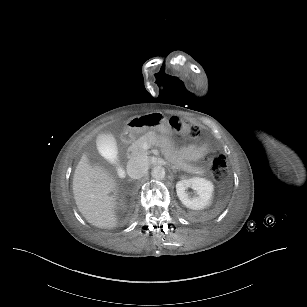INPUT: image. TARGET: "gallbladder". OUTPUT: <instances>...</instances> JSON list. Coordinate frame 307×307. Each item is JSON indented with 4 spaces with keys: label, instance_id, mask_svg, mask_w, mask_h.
<instances>
[{
    "label": "gallbladder",
    "instance_id": "1",
    "mask_svg": "<svg viewBox=\"0 0 307 307\" xmlns=\"http://www.w3.org/2000/svg\"><path fill=\"white\" fill-rule=\"evenodd\" d=\"M97 143L100 152L103 154L104 158L108 161H110V164L112 166H116L115 170L117 172H120L122 170V167L119 164V151L116 148V143L114 138L108 134V133H102L97 138ZM120 177L122 179H125L127 177V174L125 172H122L120 174Z\"/></svg>",
    "mask_w": 307,
    "mask_h": 307
}]
</instances>
